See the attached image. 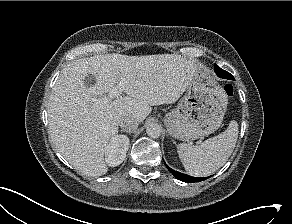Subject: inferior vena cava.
<instances>
[{
  "mask_svg": "<svg viewBox=\"0 0 292 224\" xmlns=\"http://www.w3.org/2000/svg\"><path fill=\"white\" fill-rule=\"evenodd\" d=\"M118 124L123 130L131 132L138 127V121L131 116H121Z\"/></svg>",
  "mask_w": 292,
  "mask_h": 224,
  "instance_id": "inferior-vena-cava-1",
  "label": "inferior vena cava"
}]
</instances>
